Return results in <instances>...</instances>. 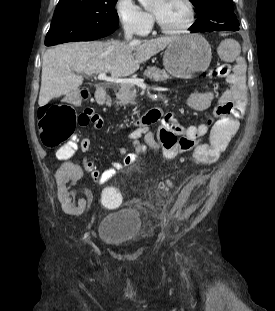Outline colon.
I'll return each mask as SVG.
<instances>
[{"instance_id": "colon-1", "label": "colon", "mask_w": 275, "mask_h": 311, "mask_svg": "<svg viewBox=\"0 0 275 311\" xmlns=\"http://www.w3.org/2000/svg\"><path fill=\"white\" fill-rule=\"evenodd\" d=\"M216 74L226 77L230 74V66L226 63L218 65ZM76 100L81 94L74 93ZM92 112L84 110L78 112L72 105L55 104L46 105L38 111V129L42 143L48 148H58L57 155L60 158H69L76 151V143L71 140L76 127L86 126L91 122ZM241 129L238 118H217L211 143L202 145L194 143L197 148V161L202 165L215 164L221 154L228 147L230 140L237 130ZM102 202L107 206H116L119 203L118 190L110 183L100 184Z\"/></svg>"}]
</instances>
